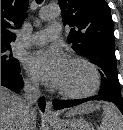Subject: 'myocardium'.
Masks as SVG:
<instances>
[{
  "mask_svg": "<svg viewBox=\"0 0 123 130\" xmlns=\"http://www.w3.org/2000/svg\"><path fill=\"white\" fill-rule=\"evenodd\" d=\"M68 62L79 63L87 67L92 73L93 77L92 84L87 90L81 92L67 91L56 86L55 89L57 93L66 99H74V100L85 99L94 95L101 85V76L97 67L91 61L81 56H73L68 60Z\"/></svg>",
  "mask_w": 123,
  "mask_h": 130,
  "instance_id": "1",
  "label": "myocardium"
}]
</instances>
